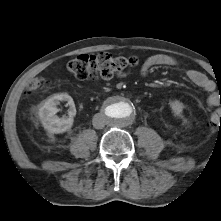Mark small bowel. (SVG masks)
Instances as JSON below:
<instances>
[{"label":"small bowel","mask_w":221,"mask_h":221,"mask_svg":"<svg viewBox=\"0 0 221 221\" xmlns=\"http://www.w3.org/2000/svg\"><path fill=\"white\" fill-rule=\"evenodd\" d=\"M176 61L172 57L164 54H155L148 57L141 67V74L147 75L149 71L157 66H175ZM188 79L197 87L207 93L206 102L209 107H217L221 104V98L216 92L215 83L198 70H188Z\"/></svg>","instance_id":"c3829d8e"}]
</instances>
